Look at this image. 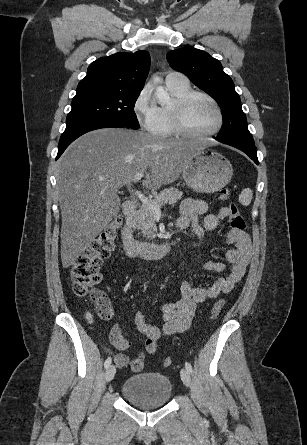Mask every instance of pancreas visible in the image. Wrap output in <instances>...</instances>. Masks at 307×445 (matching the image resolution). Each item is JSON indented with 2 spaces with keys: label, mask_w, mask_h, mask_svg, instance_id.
Wrapping results in <instances>:
<instances>
[{
  "label": "pancreas",
  "mask_w": 307,
  "mask_h": 445,
  "mask_svg": "<svg viewBox=\"0 0 307 445\" xmlns=\"http://www.w3.org/2000/svg\"><path fill=\"white\" fill-rule=\"evenodd\" d=\"M181 196L182 190H178V188L171 186V188H164V190H161L155 198H150V200H152L154 204L162 206V204H167V202H177L178 198H181ZM153 214L154 212L152 208L147 206V204H142L139 210H135L134 220H136L137 229H141L143 235H147L148 239H154L156 235L155 231H157Z\"/></svg>",
  "instance_id": "cf45deb5"
}]
</instances>
